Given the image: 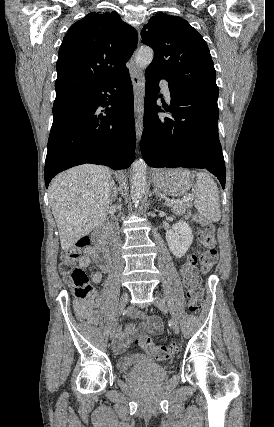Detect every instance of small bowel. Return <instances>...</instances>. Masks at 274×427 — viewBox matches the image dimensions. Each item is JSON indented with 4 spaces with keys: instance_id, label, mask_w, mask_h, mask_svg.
<instances>
[{
    "instance_id": "1",
    "label": "small bowel",
    "mask_w": 274,
    "mask_h": 427,
    "mask_svg": "<svg viewBox=\"0 0 274 427\" xmlns=\"http://www.w3.org/2000/svg\"><path fill=\"white\" fill-rule=\"evenodd\" d=\"M210 256L216 257L219 254L218 249L209 251ZM91 261L96 265V271L92 275V281L99 283L103 274L107 273L111 266V259L107 249L100 247L97 243L85 248L82 257L78 261L81 268H86L90 265ZM205 270H215V261H205L203 264ZM74 309L78 317L87 321H92L94 318V310L92 305L86 301H75ZM133 314V317H137ZM163 330V323L158 316L142 317L139 325L130 322L126 325L125 330H117L113 336V346L116 352L124 351L130 344H132L139 335L151 334L159 335Z\"/></svg>"
}]
</instances>
